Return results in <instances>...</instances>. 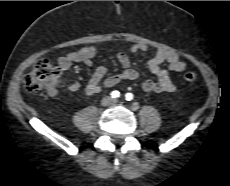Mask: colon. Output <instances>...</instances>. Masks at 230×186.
Here are the masks:
<instances>
[{
  "label": "colon",
  "instance_id": "colon-1",
  "mask_svg": "<svg viewBox=\"0 0 230 186\" xmlns=\"http://www.w3.org/2000/svg\"><path fill=\"white\" fill-rule=\"evenodd\" d=\"M186 82H195L199 79L196 72L188 71L182 75ZM61 71L53 62L47 59L38 60L33 64L25 76L23 84L28 92L46 91L56 94L61 84Z\"/></svg>",
  "mask_w": 230,
  "mask_h": 186
}]
</instances>
